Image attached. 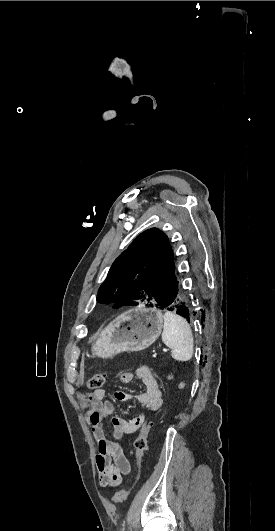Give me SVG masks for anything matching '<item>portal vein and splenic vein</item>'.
Returning a JSON list of instances; mask_svg holds the SVG:
<instances>
[{
    "mask_svg": "<svg viewBox=\"0 0 275 531\" xmlns=\"http://www.w3.org/2000/svg\"><path fill=\"white\" fill-rule=\"evenodd\" d=\"M164 353H167L168 348H163Z\"/></svg>",
    "mask_w": 275,
    "mask_h": 531,
    "instance_id": "18ae733b",
    "label": "portal vein and splenic vein"
}]
</instances>
